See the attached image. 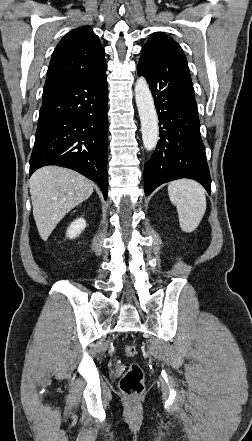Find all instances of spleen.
<instances>
[{"mask_svg": "<svg viewBox=\"0 0 252 441\" xmlns=\"http://www.w3.org/2000/svg\"><path fill=\"white\" fill-rule=\"evenodd\" d=\"M168 194L177 208L181 229L186 233L193 232L206 211L204 188L196 181L180 179L168 185Z\"/></svg>", "mask_w": 252, "mask_h": 441, "instance_id": "spleen-1", "label": "spleen"}]
</instances>
